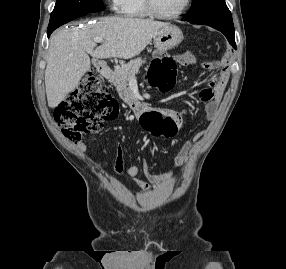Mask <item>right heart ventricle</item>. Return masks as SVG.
I'll return each instance as SVG.
<instances>
[{
    "label": "right heart ventricle",
    "mask_w": 286,
    "mask_h": 269,
    "mask_svg": "<svg viewBox=\"0 0 286 269\" xmlns=\"http://www.w3.org/2000/svg\"><path fill=\"white\" fill-rule=\"evenodd\" d=\"M118 12L122 16L131 19H142L149 16L145 10L143 0H120Z\"/></svg>",
    "instance_id": "e07e8e85"
}]
</instances>
